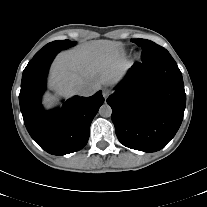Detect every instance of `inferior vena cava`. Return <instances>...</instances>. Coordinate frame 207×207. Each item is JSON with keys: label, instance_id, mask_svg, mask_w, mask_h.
Returning <instances> with one entry per match:
<instances>
[{"label": "inferior vena cava", "instance_id": "obj_1", "mask_svg": "<svg viewBox=\"0 0 207 207\" xmlns=\"http://www.w3.org/2000/svg\"><path fill=\"white\" fill-rule=\"evenodd\" d=\"M96 87L90 85V84H86V83H83V84H79L76 86L75 88V92L78 94V95H81V96H91L93 95L95 92H96Z\"/></svg>", "mask_w": 207, "mask_h": 207}]
</instances>
